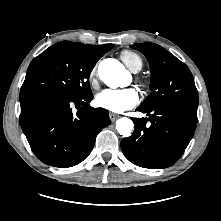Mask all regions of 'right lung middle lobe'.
Returning <instances> with one entry per match:
<instances>
[{
  "label": "right lung middle lobe",
  "mask_w": 221,
  "mask_h": 221,
  "mask_svg": "<svg viewBox=\"0 0 221 221\" xmlns=\"http://www.w3.org/2000/svg\"><path fill=\"white\" fill-rule=\"evenodd\" d=\"M98 60L73 43H56L32 60L21 91L49 90L71 98L92 94L88 79Z\"/></svg>",
  "instance_id": "right-lung-middle-lobe-1"
}]
</instances>
